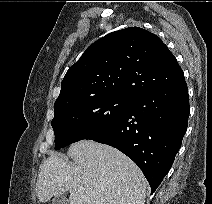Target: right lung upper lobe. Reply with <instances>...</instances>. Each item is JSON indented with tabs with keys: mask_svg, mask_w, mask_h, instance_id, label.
<instances>
[{
	"mask_svg": "<svg viewBox=\"0 0 212 204\" xmlns=\"http://www.w3.org/2000/svg\"><path fill=\"white\" fill-rule=\"evenodd\" d=\"M174 55L139 27L112 32L90 45L67 71L55 109L103 96H132L183 77Z\"/></svg>",
	"mask_w": 212,
	"mask_h": 204,
	"instance_id": "cb5924a9",
	"label": "right lung upper lobe"
}]
</instances>
